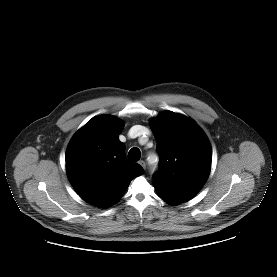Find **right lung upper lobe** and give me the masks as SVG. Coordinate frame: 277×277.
I'll return each instance as SVG.
<instances>
[{
	"label": "right lung upper lobe",
	"mask_w": 277,
	"mask_h": 277,
	"mask_svg": "<svg viewBox=\"0 0 277 277\" xmlns=\"http://www.w3.org/2000/svg\"><path fill=\"white\" fill-rule=\"evenodd\" d=\"M122 122L109 115L91 119L76 132L66 151L68 178L86 202L107 208L127 190L130 181L144 173L127 160L126 146L118 136Z\"/></svg>",
	"instance_id": "cb5924a9"
}]
</instances>
